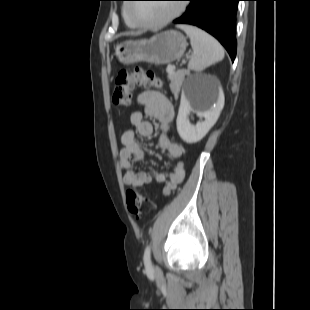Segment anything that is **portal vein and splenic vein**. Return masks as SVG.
<instances>
[{
  "mask_svg": "<svg viewBox=\"0 0 310 310\" xmlns=\"http://www.w3.org/2000/svg\"><path fill=\"white\" fill-rule=\"evenodd\" d=\"M174 69H175L174 66H169V67L167 68V72H168V73H169V72H172Z\"/></svg>",
  "mask_w": 310,
  "mask_h": 310,
  "instance_id": "obj_1",
  "label": "portal vein and splenic vein"
}]
</instances>
